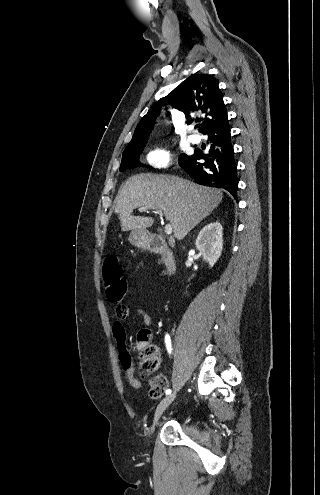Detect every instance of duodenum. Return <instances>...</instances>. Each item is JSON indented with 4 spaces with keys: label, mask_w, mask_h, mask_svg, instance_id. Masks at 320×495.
Returning <instances> with one entry per match:
<instances>
[{
    "label": "duodenum",
    "mask_w": 320,
    "mask_h": 495,
    "mask_svg": "<svg viewBox=\"0 0 320 495\" xmlns=\"http://www.w3.org/2000/svg\"><path fill=\"white\" fill-rule=\"evenodd\" d=\"M145 247L156 254H160L166 271L170 274L175 270V261L166 242L158 235L147 234L143 239Z\"/></svg>",
    "instance_id": "duodenum-1"
}]
</instances>
